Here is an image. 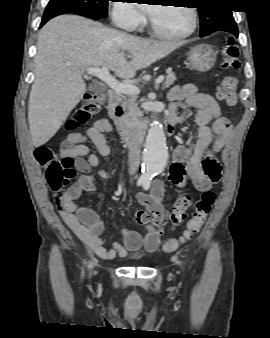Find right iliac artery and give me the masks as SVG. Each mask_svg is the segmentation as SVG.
<instances>
[{
	"instance_id": "82829eb1",
	"label": "right iliac artery",
	"mask_w": 270,
	"mask_h": 338,
	"mask_svg": "<svg viewBox=\"0 0 270 338\" xmlns=\"http://www.w3.org/2000/svg\"><path fill=\"white\" fill-rule=\"evenodd\" d=\"M140 185H143V187H144L145 184L138 182V186H140Z\"/></svg>"
}]
</instances>
